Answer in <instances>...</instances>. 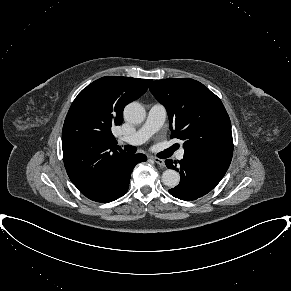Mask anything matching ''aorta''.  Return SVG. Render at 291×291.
<instances>
[{"label": "aorta", "instance_id": "1", "mask_svg": "<svg viewBox=\"0 0 291 291\" xmlns=\"http://www.w3.org/2000/svg\"><path fill=\"white\" fill-rule=\"evenodd\" d=\"M146 112L144 107L138 102H131L124 109V118L132 124H140L144 121ZM180 175L173 169H167L162 174V182L165 186L173 188L179 184Z\"/></svg>", "mask_w": 291, "mask_h": 291}]
</instances>
